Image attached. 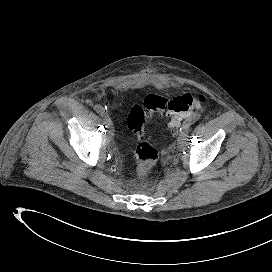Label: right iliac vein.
Here are the masks:
<instances>
[{
  "label": "right iliac vein",
  "instance_id": "63e3f726",
  "mask_svg": "<svg viewBox=\"0 0 272 272\" xmlns=\"http://www.w3.org/2000/svg\"><path fill=\"white\" fill-rule=\"evenodd\" d=\"M103 116H104V123L106 124V127L108 128V131H107L108 135L113 136L114 135L113 123L107 113H105Z\"/></svg>",
  "mask_w": 272,
  "mask_h": 272
}]
</instances>
